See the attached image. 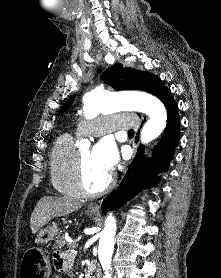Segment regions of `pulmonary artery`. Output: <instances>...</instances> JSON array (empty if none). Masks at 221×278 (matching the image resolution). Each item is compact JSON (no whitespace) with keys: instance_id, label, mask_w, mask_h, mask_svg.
I'll use <instances>...</instances> for the list:
<instances>
[{"instance_id":"pulmonary-artery-1","label":"pulmonary artery","mask_w":221,"mask_h":278,"mask_svg":"<svg viewBox=\"0 0 221 278\" xmlns=\"http://www.w3.org/2000/svg\"><path fill=\"white\" fill-rule=\"evenodd\" d=\"M137 117L133 114L101 116L94 121H83L77 125L76 131L86 136H100L116 129L138 127Z\"/></svg>"}]
</instances>
